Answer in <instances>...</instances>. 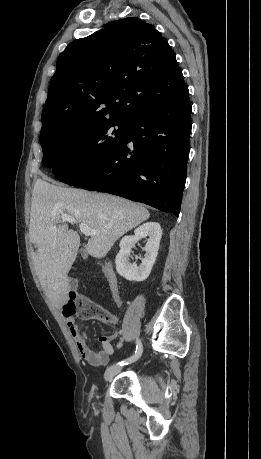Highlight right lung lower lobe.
I'll return each instance as SVG.
<instances>
[{
    "instance_id": "obj_1",
    "label": "right lung lower lobe",
    "mask_w": 261,
    "mask_h": 459,
    "mask_svg": "<svg viewBox=\"0 0 261 459\" xmlns=\"http://www.w3.org/2000/svg\"><path fill=\"white\" fill-rule=\"evenodd\" d=\"M190 132L191 104L185 86L171 101L130 120L121 147L69 185L142 202L178 217Z\"/></svg>"
}]
</instances>
